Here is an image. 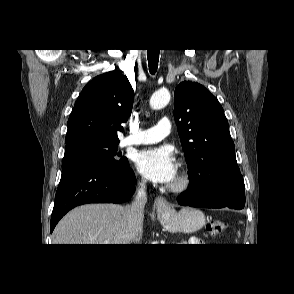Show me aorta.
Listing matches in <instances>:
<instances>
[{
  "label": "aorta",
  "mask_w": 294,
  "mask_h": 294,
  "mask_svg": "<svg viewBox=\"0 0 294 294\" xmlns=\"http://www.w3.org/2000/svg\"><path fill=\"white\" fill-rule=\"evenodd\" d=\"M170 93L166 89L156 91L150 98V106L152 109L159 110L164 108L170 101Z\"/></svg>",
  "instance_id": "762f6f07"
}]
</instances>
